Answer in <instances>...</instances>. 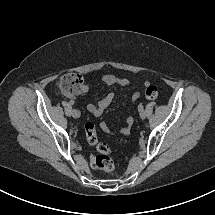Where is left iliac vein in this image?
<instances>
[{
    "instance_id": "left-iliac-vein-1",
    "label": "left iliac vein",
    "mask_w": 215,
    "mask_h": 215,
    "mask_svg": "<svg viewBox=\"0 0 215 215\" xmlns=\"http://www.w3.org/2000/svg\"><path fill=\"white\" fill-rule=\"evenodd\" d=\"M140 117L142 118V119H145L146 118V112L143 110V112L142 113H140Z\"/></svg>"
}]
</instances>
